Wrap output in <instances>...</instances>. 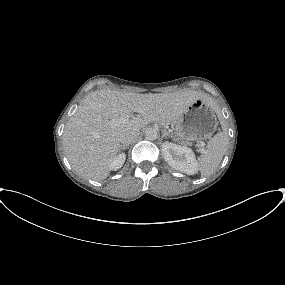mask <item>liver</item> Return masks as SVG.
Returning a JSON list of instances; mask_svg holds the SVG:
<instances>
[{
	"mask_svg": "<svg viewBox=\"0 0 285 285\" xmlns=\"http://www.w3.org/2000/svg\"><path fill=\"white\" fill-rule=\"evenodd\" d=\"M211 101L197 91L140 94L101 89L86 96L67 122L63 132V148L72 168L81 176L103 180L110 173V163L120 149L119 137L149 123L167 127L176 123L188 106ZM143 110V113L139 111ZM133 112L140 115L132 116ZM125 118L124 122L113 120Z\"/></svg>",
	"mask_w": 285,
	"mask_h": 285,
	"instance_id": "liver-1",
	"label": "liver"
}]
</instances>
